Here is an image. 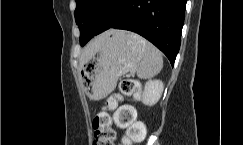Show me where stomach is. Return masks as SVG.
<instances>
[{
	"mask_svg": "<svg viewBox=\"0 0 243 145\" xmlns=\"http://www.w3.org/2000/svg\"><path fill=\"white\" fill-rule=\"evenodd\" d=\"M138 35L111 30L102 46L85 62L82 68L83 83L92 100L110 94L119 77L133 70L145 54L144 44Z\"/></svg>",
	"mask_w": 243,
	"mask_h": 145,
	"instance_id": "stomach-1",
	"label": "stomach"
}]
</instances>
